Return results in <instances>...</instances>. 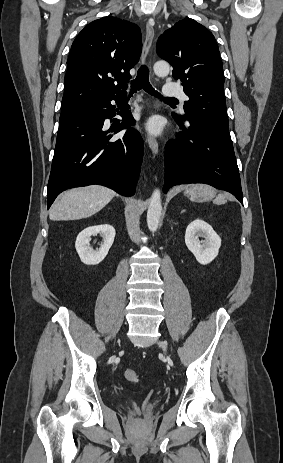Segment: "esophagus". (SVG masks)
<instances>
[{
	"label": "esophagus",
	"instance_id": "34e87169",
	"mask_svg": "<svg viewBox=\"0 0 283 463\" xmlns=\"http://www.w3.org/2000/svg\"><path fill=\"white\" fill-rule=\"evenodd\" d=\"M154 21L152 19H149L147 24H146V37H145V41H144V46H143V51H142V57H141V61L142 63H145L146 59H147V56L149 54V51L151 49V46H152V42H153V39H154ZM147 142H148V145L150 147V149L152 150L153 154H158V142L157 140L151 136V135H148L147 136Z\"/></svg>",
	"mask_w": 283,
	"mask_h": 463
}]
</instances>
